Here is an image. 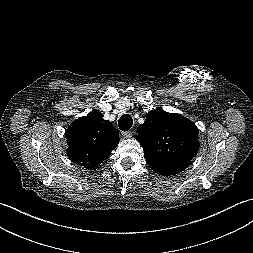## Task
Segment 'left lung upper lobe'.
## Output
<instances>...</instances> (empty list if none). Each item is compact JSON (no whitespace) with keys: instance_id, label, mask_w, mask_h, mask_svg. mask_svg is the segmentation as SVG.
Returning a JSON list of instances; mask_svg holds the SVG:
<instances>
[{"instance_id":"obj_1","label":"left lung upper lobe","mask_w":253,"mask_h":253,"mask_svg":"<svg viewBox=\"0 0 253 253\" xmlns=\"http://www.w3.org/2000/svg\"><path fill=\"white\" fill-rule=\"evenodd\" d=\"M137 133L135 138L143 147L148 165L160 175L183 171L198 152V128L177 113L152 110Z\"/></svg>"}]
</instances>
